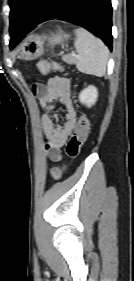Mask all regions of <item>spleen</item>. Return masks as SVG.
Instances as JSON below:
<instances>
[{"label":"spleen","mask_w":134,"mask_h":281,"mask_svg":"<svg viewBox=\"0 0 134 281\" xmlns=\"http://www.w3.org/2000/svg\"><path fill=\"white\" fill-rule=\"evenodd\" d=\"M74 46L77 69L85 74L102 77L106 73L109 51L105 44L83 28L75 29Z\"/></svg>","instance_id":"3e777b00"}]
</instances>
